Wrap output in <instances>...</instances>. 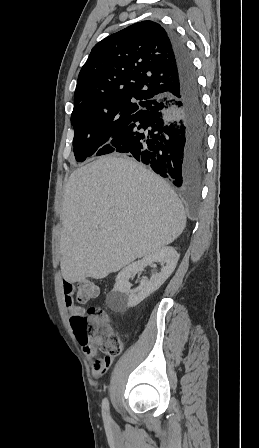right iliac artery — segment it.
Segmentation results:
<instances>
[{
  "label": "right iliac artery",
  "mask_w": 259,
  "mask_h": 448,
  "mask_svg": "<svg viewBox=\"0 0 259 448\" xmlns=\"http://www.w3.org/2000/svg\"><path fill=\"white\" fill-rule=\"evenodd\" d=\"M102 417L105 424H110V422L112 421L109 412V402L107 398H105L102 402Z\"/></svg>",
  "instance_id": "1"
}]
</instances>
